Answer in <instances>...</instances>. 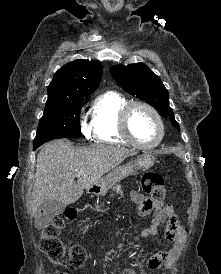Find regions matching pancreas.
Here are the masks:
<instances>
[{
    "mask_svg": "<svg viewBox=\"0 0 221 274\" xmlns=\"http://www.w3.org/2000/svg\"><path fill=\"white\" fill-rule=\"evenodd\" d=\"M114 189H116V191L119 192L120 189H121V186H120V185H116V186L114 187ZM112 196H113V195H112Z\"/></svg>",
    "mask_w": 221,
    "mask_h": 274,
    "instance_id": "1",
    "label": "pancreas"
}]
</instances>
